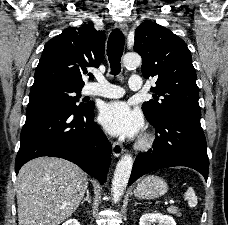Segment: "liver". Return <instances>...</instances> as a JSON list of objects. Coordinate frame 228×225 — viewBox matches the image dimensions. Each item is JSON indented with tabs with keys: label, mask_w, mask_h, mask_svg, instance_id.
<instances>
[{
	"label": "liver",
	"mask_w": 228,
	"mask_h": 225,
	"mask_svg": "<svg viewBox=\"0 0 228 225\" xmlns=\"http://www.w3.org/2000/svg\"><path fill=\"white\" fill-rule=\"evenodd\" d=\"M16 187L19 225H59L80 205L88 181L73 163L40 157L20 169Z\"/></svg>",
	"instance_id": "liver-1"
}]
</instances>
